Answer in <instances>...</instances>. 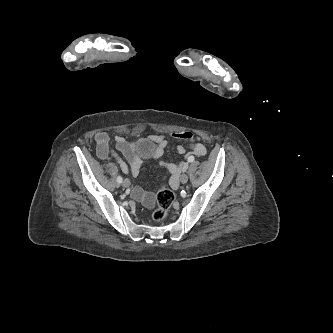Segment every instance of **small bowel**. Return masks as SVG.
<instances>
[{"instance_id":"obj_1","label":"small bowel","mask_w":333,"mask_h":333,"mask_svg":"<svg viewBox=\"0 0 333 333\" xmlns=\"http://www.w3.org/2000/svg\"><path fill=\"white\" fill-rule=\"evenodd\" d=\"M178 139L187 141L190 143L189 149H186L182 145L176 147V151L179 154H185V160L179 164H169L164 161L160 162L161 166L166 167L172 177L170 179V186L172 188H177L178 178L180 173L184 170L185 167H188V162L191 158L196 156H204L206 154L205 146L199 141V138L190 132H180L174 134ZM152 140L156 143L155 157L160 158L165 149L168 147V137L164 135H152ZM96 143V153L97 156L102 160L114 159L120 165L122 172L131 173L133 176H138L140 174L141 165H142V156L138 153L133 142L127 141L122 136L115 137L116 151L111 150L109 147L110 138L106 132H98L94 137ZM122 153L127 163L119 156L117 153ZM132 196L134 199L144 203L147 206H151L154 202V195L150 192H145L140 187H135L132 190Z\"/></svg>"}]
</instances>
